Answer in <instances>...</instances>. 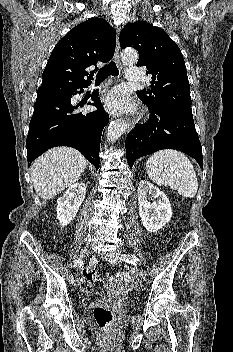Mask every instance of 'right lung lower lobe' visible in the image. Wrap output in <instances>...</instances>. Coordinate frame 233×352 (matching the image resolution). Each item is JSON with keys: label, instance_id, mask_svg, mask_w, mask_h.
I'll use <instances>...</instances> for the list:
<instances>
[{"label": "right lung lower lobe", "instance_id": "right-lung-lower-lobe-1", "mask_svg": "<svg viewBox=\"0 0 233 352\" xmlns=\"http://www.w3.org/2000/svg\"><path fill=\"white\" fill-rule=\"evenodd\" d=\"M89 85L73 89L66 98L36 100L26 140L28 162L50 148L69 146L80 151L96 169L99 168L101 135L109 122V115L104 111L97 92L91 96L93 103H88L96 106V111L79 112L78 106L71 103V98L80 93L76 90L83 92V88Z\"/></svg>", "mask_w": 233, "mask_h": 352}]
</instances>
